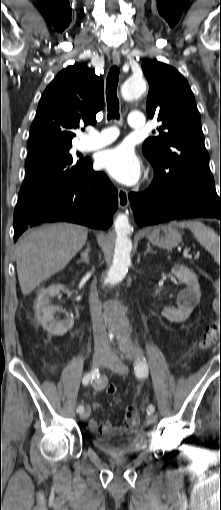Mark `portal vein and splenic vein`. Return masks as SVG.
<instances>
[{
    "label": "portal vein and splenic vein",
    "instance_id": "18ae733b",
    "mask_svg": "<svg viewBox=\"0 0 221 510\" xmlns=\"http://www.w3.org/2000/svg\"><path fill=\"white\" fill-rule=\"evenodd\" d=\"M187 253H188V249H186V250L184 251V254H187ZM194 257H195V258H198V257H199V255L197 254V255H195Z\"/></svg>",
    "mask_w": 221,
    "mask_h": 510
}]
</instances>
